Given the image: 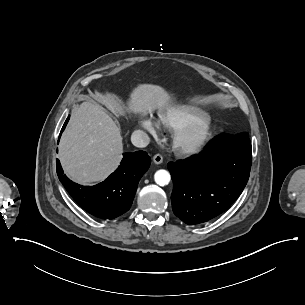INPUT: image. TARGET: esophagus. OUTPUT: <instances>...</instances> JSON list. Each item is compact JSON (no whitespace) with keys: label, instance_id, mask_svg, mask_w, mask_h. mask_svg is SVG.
<instances>
[{"label":"esophagus","instance_id":"obj_1","mask_svg":"<svg viewBox=\"0 0 305 305\" xmlns=\"http://www.w3.org/2000/svg\"><path fill=\"white\" fill-rule=\"evenodd\" d=\"M153 161H154V163L157 164V165L161 164L162 161H163L162 155H161V154H156V155H154Z\"/></svg>","mask_w":305,"mask_h":305}]
</instances>
